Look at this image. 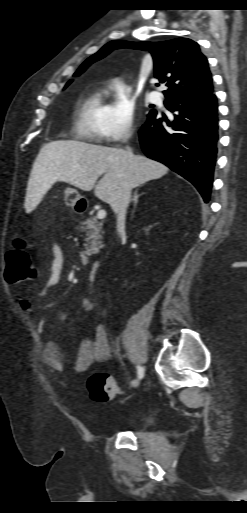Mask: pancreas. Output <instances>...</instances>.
Wrapping results in <instances>:
<instances>
[{"label": "pancreas", "mask_w": 247, "mask_h": 513, "mask_svg": "<svg viewBox=\"0 0 247 513\" xmlns=\"http://www.w3.org/2000/svg\"><path fill=\"white\" fill-rule=\"evenodd\" d=\"M79 229L86 232V251L83 255L90 256L99 252L102 244V223L97 221L96 217L83 216L79 221Z\"/></svg>", "instance_id": "cf45deb5"}]
</instances>
